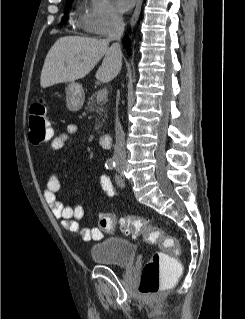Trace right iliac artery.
I'll return each instance as SVG.
<instances>
[{
	"label": "right iliac artery",
	"mask_w": 245,
	"mask_h": 319,
	"mask_svg": "<svg viewBox=\"0 0 245 319\" xmlns=\"http://www.w3.org/2000/svg\"><path fill=\"white\" fill-rule=\"evenodd\" d=\"M106 168L112 170L115 167V161L113 159H108L105 164Z\"/></svg>",
	"instance_id": "right-iliac-artery-1"
}]
</instances>
